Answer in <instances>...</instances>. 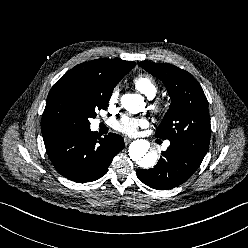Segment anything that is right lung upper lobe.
<instances>
[{"label": "right lung upper lobe", "mask_w": 248, "mask_h": 248, "mask_svg": "<svg viewBox=\"0 0 248 248\" xmlns=\"http://www.w3.org/2000/svg\"><path fill=\"white\" fill-rule=\"evenodd\" d=\"M136 65L116 59H96L84 62L69 70L56 84L99 79L106 84L115 87L116 84Z\"/></svg>", "instance_id": "cb5924a9"}]
</instances>
